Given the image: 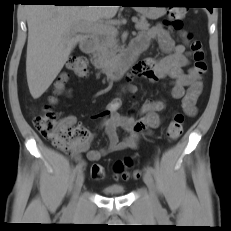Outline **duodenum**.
<instances>
[{"label":"duodenum","instance_id":"1","mask_svg":"<svg viewBox=\"0 0 231 231\" xmlns=\"http://www.w3.org/2000/svg\"><path fill=\"white\" fill-rule=\"evenodd\" d=\"M97 45H98L97 39L93 36H90L81 42V49L84 53L91 54L95 51ZM137 56H138V50L127 51L123 55L121 60L118 61V63L113 65L108 70V73L114 78H119L126 69H129L133 65H135ZM95 67L97 70L102 71L103 70L102 62L97 60L95 63Z\"/></svg>","mask_w":231,"mask_h":231}]
</instances>
